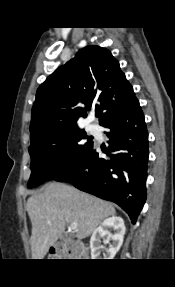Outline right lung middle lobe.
<instances>
[{
  "instance_id": "right-lung-middle-lobe-1",
  "label": "right lung middle lobe",
  "mask_w": 175,
  "mask_h": 287,
  "mask_svg": "<svg viewBox=\"0 0 175 287\" xmlns=\"http://www.w3.org/2000/svg\"><path fill=\"white\" fill-rule=\"evenodd\" d=\"M92 149V138H88L86 132L78 127L31 143L32 173L28 188L69 173L83 162Z\"/></svg>"
}]
</instances>
